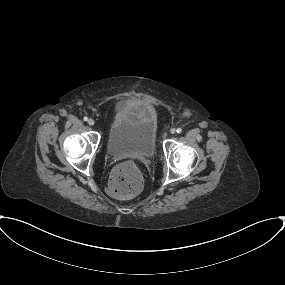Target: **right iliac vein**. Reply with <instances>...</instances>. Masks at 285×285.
<instances>
[{
    "label": "right iliac vein",
    "mask_w": 285,
    "mask_h": 285,
    "mask_svg": "<svg viewBox=\"0 0 285 285\" xmlns=\"http://www.w3.org/2000/svg\"><path fill=\"white\" fill-rule=\"evenodd\" d=\"M88 124H89L90 126H94L95 121H94L92 118H90V119L88 120Z\"/></svg>",
    "instance_id": "obj_1"
}]
</instances>
